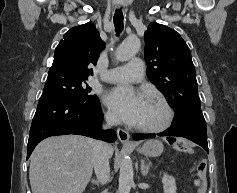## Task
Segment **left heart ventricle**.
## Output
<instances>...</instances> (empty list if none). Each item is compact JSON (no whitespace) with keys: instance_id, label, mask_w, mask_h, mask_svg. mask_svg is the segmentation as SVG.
Instances as JSON below:
<instances>
[{"instance_id":"left-heart-ventricle-1","label":"left heart ventricle","mask_w":237,"mask_h":193,"mask_svg":"<svg viewBox=\"0 0 237 193\" xmlns=\"http://www.w3.org/2000/svg\"><path fill=\"white\" fill-rule=\"evenodd\" d=\"M164 116V110L160 105L154 101L147 100L137 125L155 126L163 121Z\"/></svg>"}]
</instances>
